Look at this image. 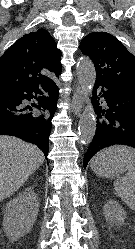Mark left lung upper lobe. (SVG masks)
<instances>
[{
  "label": "left lung upper lobe",
  "instance_id": "1",
  "mask_svg": "<svg viewBox=\"0 0 135 249\" xmlns=\"http://www.w3.org/2000/svg\"><path fill=\"white\" fill-rule=\"evenodd\" d=\"M79 47L95 65L96 82L135 93V57L116 37L92 32Z\"/></svg>",
  "mask_w": 135,
  "mask_h": 249
}]
</instances>
